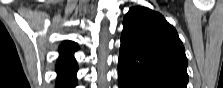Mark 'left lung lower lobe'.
<instances>
[{"label":"left lung lower lobe","mask_w":223,"mask_h":88,"mask_svg":"<svg viewBox=\"0 0 223 88\" xmlns=\"http://www.w3.org/2000/svg\"><path fill=\"white\" fill-rule=\"evenodd\" d=\"M119 88H171L170 86L149 81L138 73L118 65Z\"/></svg>","instance_id":"0a47b994"}]
</instances>
